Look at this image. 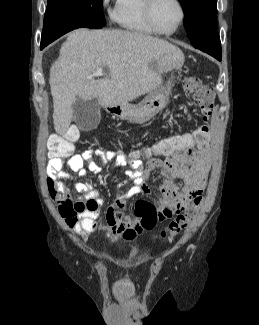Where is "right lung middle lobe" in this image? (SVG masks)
Instances as JSON below:
<instances>
[{"instance_id":"1","label":"right lung middle lobe","mask_w":259,"mask_h":325,"mask_svg":"<svg viewBox=\"0 0 259 325\" xmlns=\"http://www.w3.org/2000/svg\"><path fill=\"white\" fill-rule=\"evenodd\" d=\"M105 24L103 0H48L41 44L48 45L76 28H102Z\"/></svg>"}]
</instances>
